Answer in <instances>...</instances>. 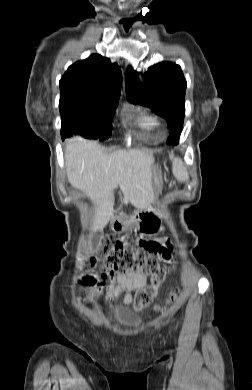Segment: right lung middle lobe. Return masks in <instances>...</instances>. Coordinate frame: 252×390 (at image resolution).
Segmentation results:
<instances>
[{
  "label": "right lung middle lobe",
  "mask_w": 252,
  "mask_h": 390,
  "mask_svg": "<svg viewBox=\"0 0 252 390\" xmlns=\"http://www.w3.org/2000/svg\"><path fill=\"white\" fill-rule=\"evenodd\" d=\"M61 114L62 139L73 134L88 139L104 140L110 136L111 115L115 108L104 106H69L59 108Z\"/></svg>",
  "instance_id": "right-lung-middle-lobe-1"
}]
</instances>
